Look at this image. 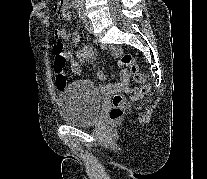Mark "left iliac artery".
Listing matches in <instances>:
<instances>
[{"label": "left iliac artery", "mask_w": 207, "mask_h": 179, "mask_svg": "<svg viewBox=\"0 0 207 179\" xmlns=\"http://www.w3.org/2000/svg\"><path fill=\"white\" fill-rule=\"evenodd\" d=\"M78 14H79V17L82 19V20H85L84 18H85V15H84V11H83V8H82V6H80L79 8H78Z\"/></svg>", "instance_id": "1"}]
</instances>
